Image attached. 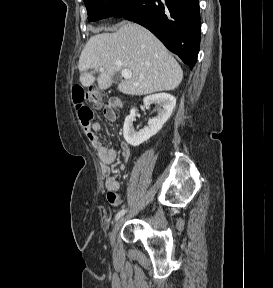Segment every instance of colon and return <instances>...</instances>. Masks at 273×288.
Wrapping results in <instances>:
<instances>
[{
    "instance_id": "obj_1",
    "label": "colon",
    "mask_w": 273,
    "mask_h": 288,
    "mask_svg": "<svg viewBox=\"0 0 273 288\" xmlns=\"http://www.w3.org/2000/svg\"><path fill=\"white\" fill-rule=\"evenodd\" d=\"M72 99L82 125L87 128L93 118V111L86 102L90 100L97 107L100 105L99 97L94 93H87L83 87L76 85L72 88Z\"/></svg>"
}]
</instances>
